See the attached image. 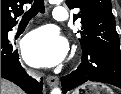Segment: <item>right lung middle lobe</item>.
<instances>
[{
    "label": "right lung middle lobe",
    "mask_w": 121,
    "mask_h": 94,
    "mask_svg": "<svg viewBox=\"0 0 121 94\" xmlns=\"http://www.w3.org/2000/svg\"><path fill=\"white\" fill-rule=\"evenodd\" d=\"M4 34V30H1V36Z\"/></svg>",
    "instance_id": "1"
}]
</instances>
